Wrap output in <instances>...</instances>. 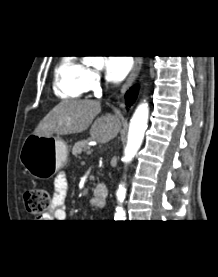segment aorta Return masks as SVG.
<instances>
[{
  "instance_id": "obj_1",
  "label": "aorta",
  "mask_w": 218,
  "mask_h": 277,
  "mask_svg": "<svg viewBox=\"0 0 218 277\" xmlns=\"http://www.w3.org/2000/svg\"><path fill=\"white\" fill-rule=\"evenodd\" d=\"M87 60L96 67H100L104 63L103 56H88ZM148 116V104L146 102L139 104L129 124L128 140L123 158L126 163H129L134 158L142 144L144 134L147 129ZM116 196L118 202L121 204L126 196V188L123 183L119 185ZM124 216L125 212L123 208L121 206H117L115 219H124Z\"/></svg>"
}]
</instances>
